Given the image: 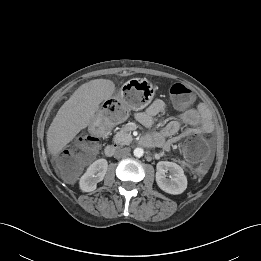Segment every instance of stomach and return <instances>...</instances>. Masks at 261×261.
Segmentation results:
<instances>
[{
  "label": "stomach",
  "mask_w": 261,
  "mask_h": 261,
  "mask_svg": "<svg viewBox=\"0 0 261 261\" xmlns=\"http://www.w3.org/2000/svg\"><path fill=\"white\" fill-rule=\"evenodd\" d=\"M154 96L152 83L146 79L133 78L128 80L120 89L117 100L127 110H141L146 107ZM102 126V120L96 117L90 124V129L97 131Z\"/></svg>",
  "instance_id": "obj_1"
}]
</instances>
